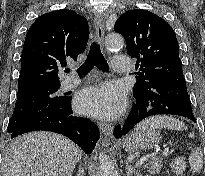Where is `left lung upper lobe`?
<instances>
[{
	"label": "left lung upper lobe",
	"instance_id": "1",
	"mask_svg": "<svg viewBox=\"0 0 205 176\" xmlns=\"http://www.w3.org/2000/svg\"><path fill=\"white\" fill-rule=\"evenodd\" d=\"M114 30L124 37L127 53L137 58L136 66L142 71L133 94L161 79L184 78L176 35L164 19L147 10H129L117 19Z\"/></svg>",
	"mask_w": 205,
	"mask_h": 176
}]
</instances>
